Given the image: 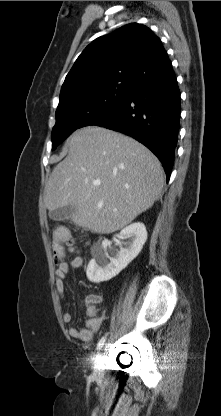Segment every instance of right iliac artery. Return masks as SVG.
<instances>
[{
	"instance_id": "82829eb1",
	"label": "right iliac artery",
	"mask_w": 221,
	"mask_h": 416,
	"mask_svg": "<svg viewBox=\"0 0 221 416\" xmlns=\"http://www.w3.org/2000/svg\"><path fill=\"white\" fill-rule=\"evenodd\" d=\"M105 341H106V336H103L97 344V350H100L103 347Z\"/></svg>"
}]
</instances>
